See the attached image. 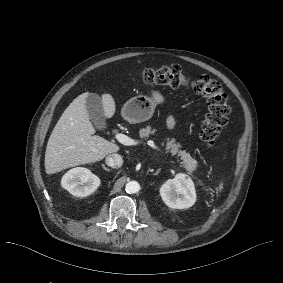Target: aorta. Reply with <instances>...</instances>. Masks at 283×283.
Masks as SVG:
<instances>
[{
    "label": "aorta",
    "mask_w": 283,
    "mask_h": 283,
    "mask_svg": "<svg viewBox=\"0 0 283 283\" xmlns=\"http://www.w3.org/2000/svg\"><path fill=\"white\" fill-rule=\"evenodd\" d=\"M140 189V184L137 181H128L125 185V190L129 194H134Z\"/></svg>",
    "instance_id": "762f6f07"
}]
</instances>
